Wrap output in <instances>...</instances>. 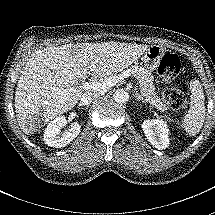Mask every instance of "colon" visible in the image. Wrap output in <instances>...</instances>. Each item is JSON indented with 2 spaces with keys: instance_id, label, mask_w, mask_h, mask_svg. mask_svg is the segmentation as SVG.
<instances>
[{
  "instance_id": "obj_1",
  "label": "colon",
  "mask_w": 215,
  "mask_h": 215,
  "mask_svg": "<svg viewBox=\"0 0 215 215\" xmlns=\"http://www.w3.org/2000/svg\"><path fill=\"white\" fill-rule=\"evenodd\" d=\"M181 62L178 55L168 53L163 56L158 67L160 85L163 86L166 80H172L179 74ZM163 101L172 109L185 110L188 108V102L185 95L175 88H166L162 90Z\"/></svg>"
}]
</instances>
